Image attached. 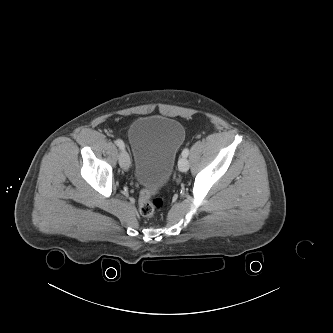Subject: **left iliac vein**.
Here are the masks:
<instances>
[{"label": "left iliac vein", "mask_w": 333, "mask_h": 333, "mask_svg": "<svg viewBox=\"0 0 333 333\" xmlns=\"http://www.w3.org/2000/svg\"><path fill=\"white\" fill-rule=\"evenodd\" d=\"M178 168H179V170L181 172L188 171V169H189V161L185 157H182L181 159H179Z\"/></svg>", "instance_id": "4c4485c4"}]
</instances>
